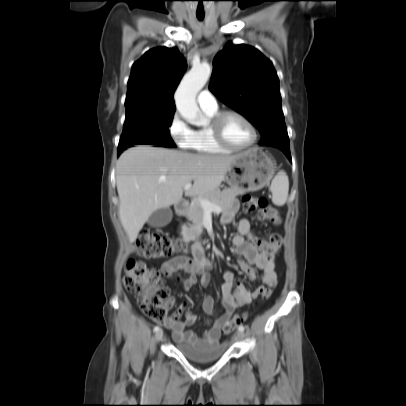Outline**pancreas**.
Masks as SVG:
<instances>
[{
	"mask_svg": "<svg viewBox=\"0 0 406 406\" xmlns=\"http://www.w3.org/2000/svg\"><path fill=\"white\" fill-rule=\"evenodd\" d=\"M242 193L243 191L236 188L224 189L223 191L217 189L209 194L194 198L187 211L188 220L191 221L192 224L182 225V236L187 239L194 240L203 232L202 221L204 216V209L200 205L201 199H206L220 207L222 211H225L229 209L236 196Z\"/></svg>",
	"mask_w": 406,
	"mask_h": 406,
	"instance_id": "cf45deb5",
	"label": "pancreas"
}]
</instances>
